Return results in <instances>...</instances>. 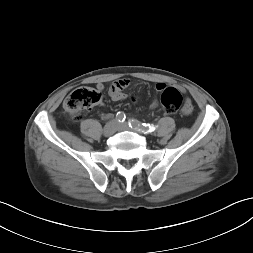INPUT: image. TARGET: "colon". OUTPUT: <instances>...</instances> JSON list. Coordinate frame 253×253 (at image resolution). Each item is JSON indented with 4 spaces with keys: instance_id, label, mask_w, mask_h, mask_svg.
I'll use <instances>...</instances> for the list:
<instances>
[{
    "instance_id": "obj_1",
    "label": "colon",
    "mask_w": 253,
    "mask_h": 253,
    "mask_svg": "<svg viewBox=\"0 0 253 253\" xmlns=\"http://www.w3.org/2000/svg\"><path fill=\"white\" fill-rule=\"evenodd\" d=\"M160 101L166 114L176 113L182 106L181 93L174 87H165L161 91ZM101 100V92L92 87H80L69 94L64 103V112L73 120H79L84 110L90 109Z\"/></svg>"
}]
</instances>
